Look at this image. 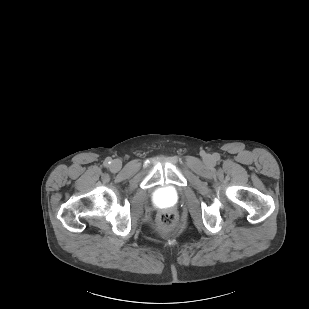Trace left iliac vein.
<instances>
[{"label": "left iliac vein", "instance_id": "obj_1", "mask_svg": "<svg viewBox=\"0 0 309 309\" xmlns=\"http://www.w3.org/2000/svg\"><path fill=\"white\" fill-rule=\"evenodd\" d=\"M204 161L207 165H210V166L214 164L213 158L209 155L205 156Z\"/></svg>", "mask_w": 309, "mask_h": 309}]
</instances>
